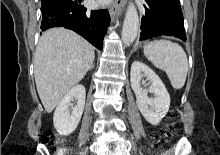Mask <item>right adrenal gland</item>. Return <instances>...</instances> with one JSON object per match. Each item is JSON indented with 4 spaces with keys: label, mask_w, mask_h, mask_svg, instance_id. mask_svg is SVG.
I'll return each mask as SVG.
<instances>
[{
    "label": "right adrenal gland",
    "mask_w": 220,
    "mask_h": 155,
    "mask_svg": "<svg viewBox=\"0 0 220 155\" xmlns=\"http://www.w3.org/2000/svg\"><path fill=\"white\" fill-rule=\"evenodd\" d=\"M94 68V64H92L91 68L90 69H93Z\"/></svg>",
    "instance_id": "right-adrenal-gland-1"
}]
</instances>
